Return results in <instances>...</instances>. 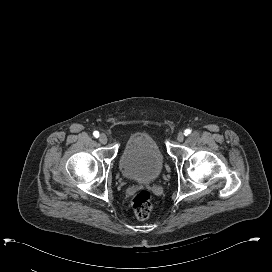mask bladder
Listing matches in <instances>:
<instances>
[{
  "label": "bladder",
  "instance_id": "obj_1",
  "mask_svg": "<svg viewBox=\"0 0 272 272\" xmlns=\"http://www.w3.org/2000/svg\"><path fill=\"white\" fill-rule=\"evenodd\" d=\"M163 164L164 157L157 142L144 133L130 136L119 158L123 174L143 182L155 181L162 171Z\"/></svg>",
  "mask_w": 272,
  "mask_h": 272
}]
</instances>
